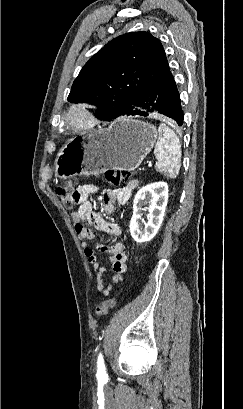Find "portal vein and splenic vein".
Here are the masks:
<instances>
[{"label":"portal vein and splenic vein","mask_w":243,"mask_h":409,"mask_svg":"<svg viewBox=\"0 0 243 409\" xmlns=\"http://www.w3.org/2000/svg\"><path fill=\"white\" fill-rule=\"evenodd\" d=\"M148 166H149V167H151V166H152V164H151V163H149V164H148Z\"/></svg>","instance_id":"1"}]
</instances>
